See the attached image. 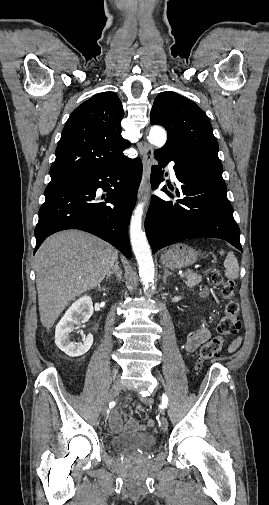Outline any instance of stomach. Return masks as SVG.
Masks as SVG:
<instances>
[{
    "instance_id": "stomach-1",
    "label": "stomach",
    "mask_w": 269,
    "mask_h": 505,
    "mask_svg": "<svg viewBox=\"0 0 269 505\" xmlns=\"http://www.w3.org/2000/svg\"><path fill=\"white\" fill-rule=\"evenodd\" d=\"M199 252L186 244H176L165 250L160 257L163 266L168 268H183L194 264Z\"/></svg>"
}]
</instances>
